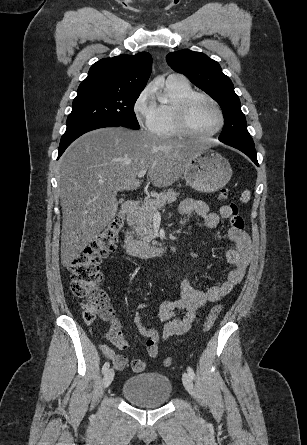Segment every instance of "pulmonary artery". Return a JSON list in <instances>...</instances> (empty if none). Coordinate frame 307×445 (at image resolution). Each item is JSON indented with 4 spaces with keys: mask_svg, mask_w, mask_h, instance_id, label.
Returning <instances> with one entry per match:
<instances>
[{
    "mask_svg": "<svg viewBox=\"0 0 307 445\" xmlns=\"http://www.w3.org/2000/svg\"><path fill=\"white\" fill-rule=\"evenodd\" d=\"M170 77H171V79L176 80V79H178L179 74H178V72L173 71V72H171Z\"/></svg>",
    "mask_w": 307,
    "mask_h": 445,
    "instance_id": "1",
    "label": "pulmonary artery"
}]
</instances>
